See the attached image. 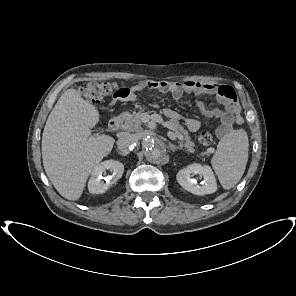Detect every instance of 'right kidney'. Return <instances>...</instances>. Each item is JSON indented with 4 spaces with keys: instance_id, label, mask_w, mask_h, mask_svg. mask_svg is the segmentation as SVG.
<instances>
[{
    "instance_id": "1",
    "label": "right kidney",
    "mask_w": 296,
    "mask_h": 296,
    "mask_svg": "<svg viewBox=\"0 0 296 296\" xmlns=\"http://www.w3.org/2000/svg\"><path fill=\"white\" fill-rule=\"evenodd\" d=\"M106 170H110L112 172L111 176H107L105 178L106 182H104L103 174L106 173ZM124 165L115 160H107L101 162L96 165L91 172V177L88 182V190L92 194H102L105 193L106 190L115 184L123 175Z\"/></svg>"
}]
</instances>
